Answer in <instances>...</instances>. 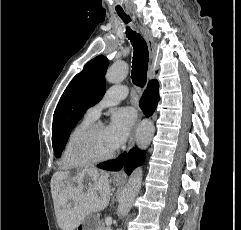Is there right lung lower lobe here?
<instances>
[{
  "mask_svg": "<svg viewBox=\"0 0 241 230\" xmlns=\"http://www.w3.org/2000/svg\"><path fill=\"white\" fill-rule=\"evenodd\" d=\"M159 100V83L157 80H152L148 83L147 88L139 102L140 108L143 110L146 117L153 114Z\"/></svg>",
  "mask_w": 241,
  "mask_h": 230,
  "instance_id": "right-lung-lower-lobe-1",
  "label": "right lung lower lobe"
}]
</instances>
